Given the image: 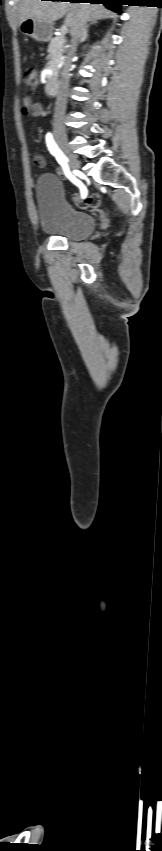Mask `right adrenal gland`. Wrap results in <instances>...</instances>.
I'll use <instances>...</instances> for the list:
<instances>
[{
	"mask_svg": "<svg viewBox=\"0 0 162 851\" xmlns=\"http://www.w3.org/2000/svg\"><path fill=\"white\" fill-rule=\"evenodd\" d=\"M91 24H93V23H91ZM89 26H90V24H89V25H87V26L85 27V30H84V33H83V37H82V42H84V41L88 38V28H89Z\"/></svg>",
	"mask_w": 162,
	"mask_h": 851,
	"instance_id": "2a0ac1e0",
	"label": "right adrenal gland"
}]
</instances>
